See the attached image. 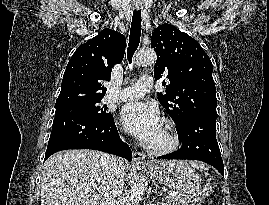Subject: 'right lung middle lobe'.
<instances>
[{
    "instance_id": "right-lung-middle-lobe-1",
    "label": "right lung middle lobe",
    "mask_w": 269,
    "mask_h": 205,
    "mask_svg": "<svg viewBox=\"0 0 269 205\" xmlns=\"http://www.w3.org/2000/svg\"><path fill=\"white\" fill-rule=\"evenodd\" d=\"M101 100L76 103L56 107L55 117L61 116H87L98 120H108L112 116L106 112V108L101 107L98 103Z\"/></svg>"
}]
</instances>
